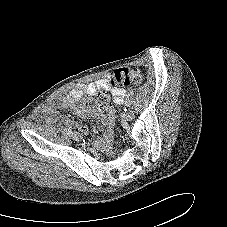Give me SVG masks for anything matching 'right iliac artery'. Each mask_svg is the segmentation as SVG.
<instances>
[{
    "label": "right iliac artery",
    "instance_id": "82829eb1",
    "mask_svg": "<svg viewBox=\"0 0 227 227\" xmlns=\"http://www.w3.org/2000/svg\"><path fill=\"white\" fill-rule=\"evenodd\" d=\"M67 134L70 135V136L73 135V132H72V130L70 128L67 129Z\"/></svg>",
    "mask_w": 227,
    "mask_h": 227
}]
</instances>
